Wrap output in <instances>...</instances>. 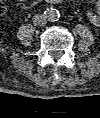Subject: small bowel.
<instances>
[{"label": "small bowel", "instance_id": "c3829d8e", "mask_svg": "<svg viewBox=\"0 0 100 118\" xmlns=\"http://www.w3.org/2000/svg\"><path fill=\"white\" fill-rule=\"evenodd\" d=\"M50 2H53L54 0H48ZM97 8H98V11L100 13V1L97 3ZM87 16H88V19L91 23H93L94 25H99L100 24V14H97L93 11H89L87 13Z\"/></svg>", "mask_w": 100, "mask_h": 118}]
</instances>
